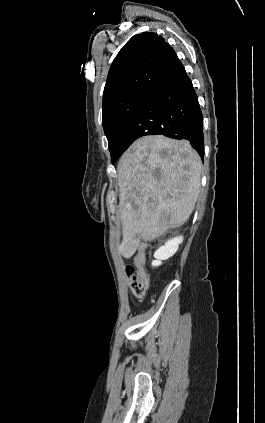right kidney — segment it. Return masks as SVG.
I'll use <instances>...</instances> for the list:
<instances>
[{"label": "right kidney", "instance_id": "1", "mask_svg": "<svg viewBox=\"0 0 265 423\" xmlns=\"http://www.w3.org/2000/svg\"><path fill=\"white\" fill-rule=\"evenodd\" d=\"M183 241V236L175 237L161 246L155 253L154 257L156 260L152 262L153 267H158L162 264L163 260H167L172 257L178 250L179 245Z\"/></svg>", "mask_w": 265, "mask_h": 423}]
</instances>
